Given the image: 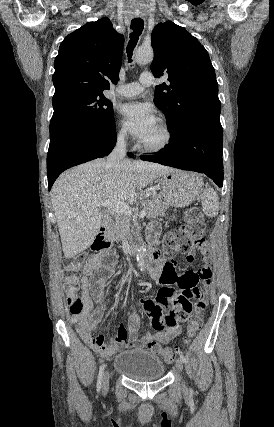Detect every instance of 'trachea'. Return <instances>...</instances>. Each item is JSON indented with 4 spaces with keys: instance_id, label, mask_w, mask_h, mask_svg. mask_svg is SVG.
Returning <instances> with one entry per match:
<instances>
[{
    "instance_id": "obj_1",
    "label": "trachea",
    "mask_w": 274,
    "mask_h": 427,
    "mask_svg": "<svg viewBox=\"0 0 274 427\" xmlns=\"http://www.w3.org/2000/svg\"><path fill=\"white\" fill-rule=\"evenodd\" d=\"M130 28L132 29V33H130V41H129L127 49H126L129 62L132 61L131 57H132L133 49L135 48V45L137 44L138 39H139V37L143 31V28H144V22H143L142 18H134L131 21Z\"/></svg>"
}]
</instances>
